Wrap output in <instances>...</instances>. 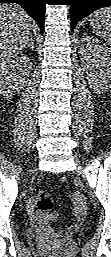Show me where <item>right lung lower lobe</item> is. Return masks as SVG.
Masks as SVG:
<instances>
[{
  "label": "right lung lower lobe",
  "instance_id": "right-lung-lower-lobe-1",
  "mask_svg": "<svg viewBox=\"0 0 111 257\" xmlns=\"http://www.w3.org/2000/svg\"><path fill=\"white\" fill-rule=\"evenodd\" d=\"M0 3L19 4L37 22L43 33L46 0H0Z\"/></svg>",
  "mask_w": 111,
  "mask_h": 257
}]
</instances>
